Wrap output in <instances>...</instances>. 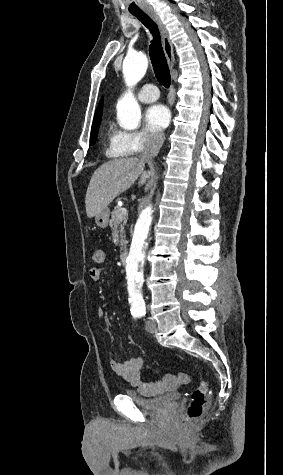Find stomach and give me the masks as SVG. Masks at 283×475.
Segmentation results:
<instances>
[{
	"mask_svg": "<svg viewBox=\"0 0 283 475\" xmlns=\"http://www.w3.org/2000/svg\"><path fill=\"white\" fill-rule=\"evenodd\" d=\"M109 216H110L109 208H104L102 212H99V214L95 216V222L97 226H99V228H106V226H108Z\"/></svg>",
	"mask_w": 283,
	"mask_h": 475,
	"instance_id": "1",
	"label": "stomach"
}]
</instances>
